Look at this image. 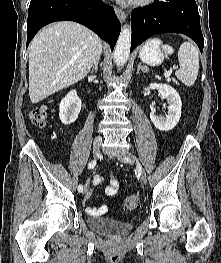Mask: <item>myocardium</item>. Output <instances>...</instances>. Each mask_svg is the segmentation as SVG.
Returning a JSON list of instances; mask_svg holds the SVG:
<instances>
[{
	"label": "myocardium",
	"mask_w": 221,
	"mask_h": 263,
	"mask_svg": "<svg viewBox=\"0 0 221 263\" xmlns=\"http://www.w3.org/2000/svg\"><path fill=\"white\" fill-rule=\"evenodd\" d=\"M154 0H135L137 6H147L151 4Z\"/></svg>",
	"instance_id": "myocardium-1"
}]
</instances>
